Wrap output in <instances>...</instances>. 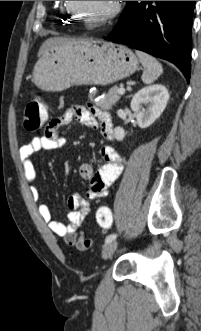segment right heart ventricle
Instances as JSON below:
<instances>
[{
    "instance_id": "1",
    "label": "right heart ventricle",
    "mask_w": 201,
    "mask_h": 331,
    "mask_svg": "<svg viewBox=\"0 0 201 331\" xmlns=\"http://www.w3.org/2000/svg\"><path fill=\"white\" fill-rule=\"evenodd\" d=\"M61 10L65 11V17L68 18V20L74 19L73 12L67 9V1H63V6H62Z\"/></svg>"
}]
</instances>
